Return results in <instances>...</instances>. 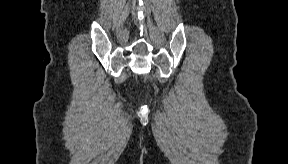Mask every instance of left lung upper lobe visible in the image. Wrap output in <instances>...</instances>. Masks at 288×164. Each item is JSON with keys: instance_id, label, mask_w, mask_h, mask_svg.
Segmentation results:
<instances>
[{"instance_id": "left-lung-upper-lobe-1", "label": "left lung upper lobe", "mask_w": 288, "mask_h": 164, "mask_svg": "<svg viewBox=\"0 0 288 164\" xmlns=\"http://www.w3.org/2000/svg\"><path fill=\"white\" fill-rule=\"evenodd\" d=\"M249 82H250V84H251L252 86H253V85H256V80H255V79H253V78H252V79H250V80H249Z\"/></svg>"}]
</instances>
